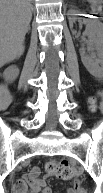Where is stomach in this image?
Listing matches in <instances>:
<instances>
[{
  "instance_id": "stomach-1",
  "label": "stomach",
  "mask_w": 103,
  "mask_h": 193,
  "mask_svg": "<svg viewBox=\"0 0 103 193\" xmlns=\"http://www.w3.org/2000/svg\"><path fill=\"white\" fill-rule=\"evenodd\" d=\"M90 2H96V0H89Z\"/></svg>"
}]
</instances>
